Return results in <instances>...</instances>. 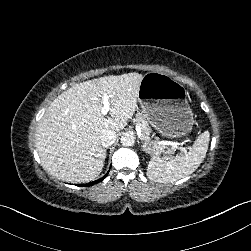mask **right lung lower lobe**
Listing matches in <instances>:
<instances>
[{
    "label": "right lung lower lobe",
    "mask_w": 251,
    "mask_h": 251,
    "mask_svg": "<svg viewBox=\"0 0 251 251\" xmlns=\"http://www.w3.org/2000/svg\"><path fill=\"white\" fill-rule=\"evenodd\" d=\"M107 175H108V172L106 173L105 176H103V177H102L101 179H99V180H96V181H94V182H90V183H88V184L78 185V186H85V187H87V186H92V185H94V184H96V183H98V182H101Z\"/></svg>",
    "instance_id": "right-lung-lower-lobe-1"
}]
</instances>
